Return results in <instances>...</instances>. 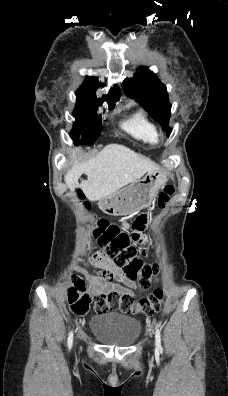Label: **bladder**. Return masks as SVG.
I'll return each mask as SVG.
<instances>
[{
    "mask_svg": "<svg viewBox=\"0 0 228 396\" xmlns=\"http://www.w3.org/2000/svg\"><path fill=\"white\" fill-rule=\"evenodd\" d=\"M91 334L106 345L127 347L141 336V322L117 312L94 316L89 323Z\"/></svg>",
    "mask_w": 228,
    "mask_h": 396,
    "instance_id": "31cf9c89",
    "label": "bladder"
}]
</instances>
